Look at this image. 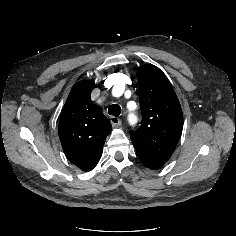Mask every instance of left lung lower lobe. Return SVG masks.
I'll return each instance as SVG.
<instances>
[{"instance_id":"obj_1","label":"left lung lower lobe","mask_w":236,"mask_h":236,"mask_svg":"<svg viewBox=\"0 0 236 236\" xmlns=\"http://www.w3.org/2000/svg\"><path fill=\"white\" fill-rule=\"evenodd\" d=\"M138 157L146 167H148L152 170L159 169L165 163L163 161L153 159V158H150V157H147V156H144V155H140V154H138Z\"/></svg>"}]
</instances>
